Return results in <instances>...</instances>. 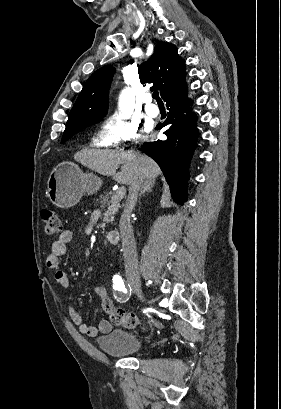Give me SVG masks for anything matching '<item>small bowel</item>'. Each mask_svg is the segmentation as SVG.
<instances>
[{"label":"small bowel","mask_w":281,"mask_h":409,"mask_svg":"<svg viewBox=\"0 0 281 409\" xmlns=\"http://www.w3.org/2000/svg\"><path fill=\"white\" fill-rule=\"evenodd\" d=\"M72 239V232L65 230L58 236L52 244L51 251L46 259V265L50 269L55 270V279L63 287L68 288L70 278L66 271L58 269L59 260L66 252V246ZM91 290L99 298L102 308L109 314L110 318L102 320L99 325L90 326L84 322L77 302L69 297L67 300L68 314L74 325L77 326L79 332L89 337H97L102 334H109L113 331L118 323L112 320V315L118 309L115 307L113 300L108 295L107 290L102 286L92 287Z\"/></svg>","instance_id":"small-bowel-1"}]
</instances>
